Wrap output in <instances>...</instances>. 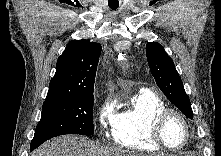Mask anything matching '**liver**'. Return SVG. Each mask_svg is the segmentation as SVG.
Masks as SVG:
<instances>
[{
  "instance_id": "liver-1",
  "label": "liver",
  "mask_w": 221,
  "mask_h": 156,
  "mask_svg": "<svg viewBox=\"0 0 221 156\" xmlns=\"http://www.w3.org/2000/svg\"><path fill=\"white\" fill-rule=\"evenodd\" d=\"M32 156H146L117 146H100L87 137L63 135L33 151Z\"/></svg>"
}]
</instances>
